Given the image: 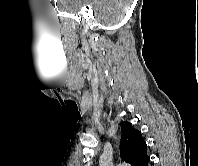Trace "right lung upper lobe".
<instances>
[{
  "label": "right lung upper lobe",
  "instance_id": "right-lung-upper-lobe-1",
  "mask_svg": "<svg viewBox=\"0 0 198 166\" xmlns=\"http://www.w3.org/2000/svg\"><path fill=\"white\" fill-rule=\"evenodd\" d=\"M120 154L123 161L131 166H143L149 158L146 153V143L141 132L125 121L121 124Z\"/></svg>",
  "mask_w": 198,
  "mask_h": 166
}]
</instances>
